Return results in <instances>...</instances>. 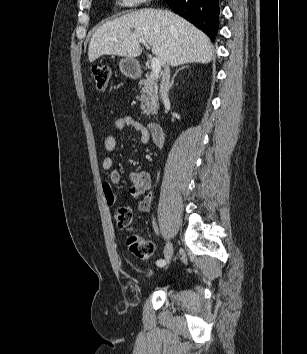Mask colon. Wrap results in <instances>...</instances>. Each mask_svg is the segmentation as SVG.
<instances>
[{"mask_svg":"<svg viewBox=\"0 0 307 354\" xmlns=\"http://www.w3.org/2000/svg\"><path fill=\"white\" fill-rule=\"evenodd\" d=\"M111 70L107 65H94L92 67V76L99 90L107 87ZM114 221L118 228L129 229L132 223V210L129 207H118L114 212ZM127 247L135 256L148 259L154 254V245L151 241L143 237L132 234L127 239Z\"/></svg>","mask_w":307,"mask_h":354,"instance_id":"colon-1","label":"colon"}]
</instances>
